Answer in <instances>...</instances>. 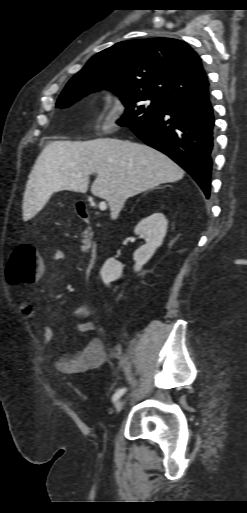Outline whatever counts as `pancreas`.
Masks as SVG:
<instances>
[{"mask_svg": "<svg viewBox=\"0 0 247 513\" xmlns=\"http://www.w3.org/2000/svg\"><path fill=\"white\" fill-rule=\"evenodd\" d=\"M82 237H83V240H82V242H83L82 250L84 252H87L88 249H89V246L91 244V237H90V234H88L87 230L82 232Z\"/></svg>", "mask_w": 247, "mask_h": 513, "instance_id": "pancreas-1", "label": "pancreas"}]
</instances>
